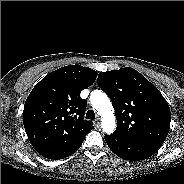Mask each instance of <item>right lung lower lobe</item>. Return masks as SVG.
<instances>
[{
	"label": "right lung lower lobe",
	"instance_id": "1",
	"mask_svg": "<svg viewBox=\"0 0 184 184\" xmlns=\"http://www.w3.org/2000/svg\"><path fill=\"white\" fill-rule=\"evenodd\" d=\"M81 144L74 146V147L67 148V149L54 151L52 153H48L42 156L48 159H52V160L63 159L75 153L80 148Z\"/></svg>",
	"mask_w": 184,
	"mask_h": 184
}]
</instances>
